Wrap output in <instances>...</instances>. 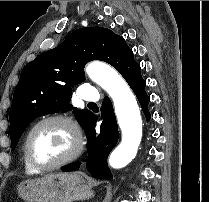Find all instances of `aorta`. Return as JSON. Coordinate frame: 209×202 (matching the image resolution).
Returning <instances> with one entry per match:
<instances>
[{"mask_svg":"<svg viewBox=\"0 0 209 202\" xmlns=\"http://www.w3.org/2000/svg\"><path fill=\"white\" fill-rule=\"evenodd\" d=\"M86 74L113 100L122 140L112 151L109 164L116 169L123 168L135 158L142 138V119L136 98L125 80L107 64L91 63L86 67Z\"/></svg>","mask_w":209,"mask_h":202,"instance_id":"762f6f07","label":"aorta"}]
</instances>
